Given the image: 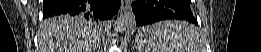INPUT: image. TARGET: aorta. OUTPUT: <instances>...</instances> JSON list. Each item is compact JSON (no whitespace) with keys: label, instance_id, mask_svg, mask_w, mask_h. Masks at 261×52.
<instances>
[{"label":"aorta","instance_id":"1","mask_svg":"<svg viewBox=\"0 0 261 52\" xmlns=\"http://www.w3.org/2000/svg\"><path fill=\"white\" fill-rule=\"evenodd\" d=\"M136 17L133 11H125L120 14L116 21V31L117 32H124L127 30L132 29L135 26Z\"/></svg>","mask_w":261,"mask_h":52}]
</instances>
